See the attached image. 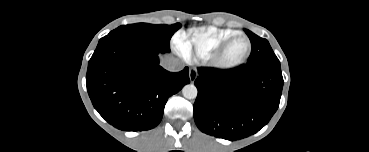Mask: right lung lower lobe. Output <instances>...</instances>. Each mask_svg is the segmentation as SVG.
I'll return each mask as SVG.
<instances>
[{"label":"right lung lower lobe","instance_id":"1","mask_svg":"<svg viewBox=\"0 0 369 152\" xmlns=\"http://www.w3.org/2000/svg\"><path fill=\"white\" fill-rule=\"evenodd\" d=\"M152 45L116 39L98 45L88 63L86 86L94 108L114 127H156L170 96L190 82L188 68L172 73L159 65Z\"/></svg>","mask_w":369,"mask_h":152}]
</instances>
